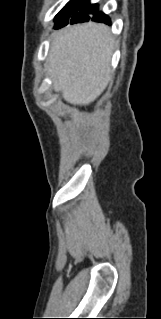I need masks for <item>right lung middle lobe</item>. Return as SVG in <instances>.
I'll return each instance as SVG.
<instances>
[{"instance_id": "right-lung-middle-lobe-1", "label": "right lung middle lobe", "mask_w": 161, "mask_h": 319, "mask_svg": "<svg viewBox=\"0 0 161 319\" xmlns=\"http://www.w3.org/2000/svg\"><path fill=\"white\" fill-rule=\"evenodd\" d=\"M97 9L98 5L90 4L89 0H70L55 16V28L89 19Z\"/></svg>"}]
</instances>
